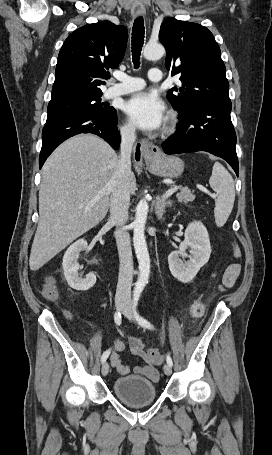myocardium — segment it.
<instances>
[{
    "label": "myocardium",
    "instance_id": "f54148a6",
    "mask_svg": "<svg viewBox=\"0 0 272 455\" xmlns=\"http://www.w3.org/2000/svg\"><path fill=\"white\" fill-rule=\"evenodd\" d=\"M176 123H177V120H176L175 115L173 113H170L168 116L167 125L164 129L165 133L168 134V133L173 132L176 127Z\"/></svg>",
    "mask_w": 272,
    "mask_h": 455
}]
</instances>
